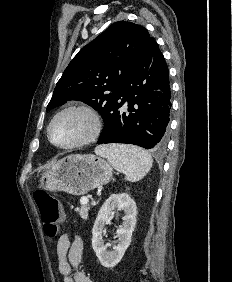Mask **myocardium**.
<instances>
[{
	"instance_id": "obj_1",
	"label": "myocardium",
	"mask_w": 232,
	"mask_h": 282,
	"mask_svg": "<svg viewBox=\"0 0 232 282\" xmlns=\"http://www.w3.org/2000/svg\"><path fill=\"white\" fill-rule=\"evenodd\" d=\"M70 112H81L86 114L92 122L91 130L84 138L80 140H77L69 144H58L52 139V135H51L52 126L58 118ZM101 132H102L101 117L93 107L87 104H71L65 106L64 108L60 109L53 115L47 126V138L49 142L54 147L64 150L76 149V148L87 146L93 143L94 141H96L97 138L100 136Z\"/></svg>"
}]
</instances>
